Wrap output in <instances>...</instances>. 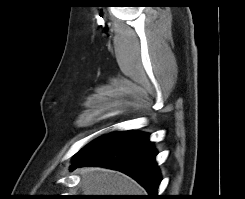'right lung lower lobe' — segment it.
<instances>
[{"mask_svg": "<svg viewBox=\"0 0 245 199\" xmlns=\"http://www.w3.org/2000/svg\"><path fill=\"white\" fill-rule=\"evenodd\" d=\"M157 152L148 134L116 131L80 150L70 170L82 166H102L119 170L140 183L149 193L146 199H159L161 176L156 163Z\"/></svg>", "mask_w": 245, "mask_h": 199, "instance_id": "obj_1", "label": "right lung lower lobe"}]
</instances>
